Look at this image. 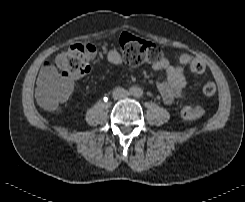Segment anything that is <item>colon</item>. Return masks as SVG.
<instances>
[{"label":"colon","mask_w":245,"mask_h":202,"mask_svg":"<svg viewBox=\"0 0 245 202\" xmlns=\"http://www.w3.org/2000/svg\"><path fill=\"white\" fill-rule=\"evenodd\" d=\"M121 49L125 60L131 65L156 63L165 54L164 49L160 45L129 34L123 35ZM95 55L96 47L93 44L77 43L58 55L54 65L61 75L78 78L88 71ZM178 58L182 64L196 74H201L205 71V64L200 59L192 57L187 53H181ZM202 91L207 96L215 94L216 86L214 82L206 81L203 84ZM68 96V90L63 88L59 82H56L52 86H47L39 90L37 100L44 108L53 110L65 101ZM203 113V108L192 105H185L181 110L183 119L187 121L199 119Z\"/></svg>","instance_id":"colon-1"}]
</instances>
